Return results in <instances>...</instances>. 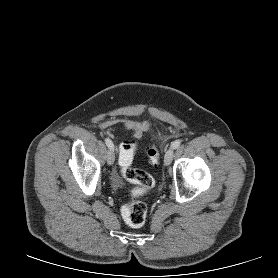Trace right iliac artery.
Returning a JSON list of instances; mask_svg holds the SVG:
<instances>
[{
  "label": "right iliac artery",
  "mask_w": 278,
  "mask_h": 278,
  "mask_svg": "<svg viewBox=\"0 0 278 278\" xmlns=\"http://www.w3.org/2000/svg\"><path fill=\"white\" fill-rule=\"evenodd\" d=\"M105 143L109 147V149H114V145H113L112 141L109 138L105 139Z\"/></svg>",
  "instance_id": "obj_1"
}]
</instances>
